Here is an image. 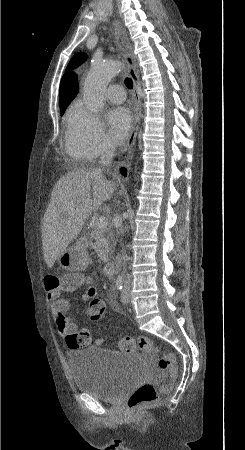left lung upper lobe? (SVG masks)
Here are the masks:
<instances>
[{
  "label": "left lung upper lobe",
  "mask_w": 245,
  "mask_h": 450,
  "mask_svg": "<svg viewBox=\"0 0 245 450\" xmlns=\"http://www.w3.org/2000/svg\"><path fill=\"white\" fill-rule=\"evenodd\" d=\"M87 56L84 53L76 54L70 61L67 69L75 68L86 60Z\"/></svg>",
  "instance_id": "1"
}]
</instances>
